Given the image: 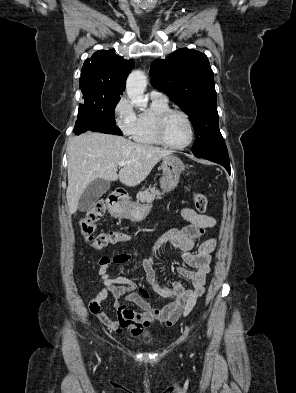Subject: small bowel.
<instances>
[{"label":"small bowel","instance_id":"small-bowel-1","mask_svg":"<svg viewBox=\"0 0 296 393\" xmlns=\"http://www.w3.org/2000/svg\"><path fill=\"white\" fill-rule=\"evenodd\" d=\"M180 217L189 222L182 229H170L164 232L154 244L149 256L144 257L137 252H121L99 259L98 274L103 287L89 302V310L111 331L122 333L127 331L134 338L148 336L151 325L159 322L166 327L175 325L187 316L195 306L197 299L205 292V279L210 271L212 252L216 248V240L208 239L203 242L198 252L192 251L194 241L202 236L207 229L215 225V219L206 214L184 207L179 211ZM166 247L180 250L181 259L185 266L177 267V272L191 282L186 286L175 281L170 286L158 283V271L155 256ZM141 259L146 271L147 281L159 296L171 299V302L161 309L153 308L150 304V294L142 286H138L126 275L111 276L112 265H131L134 259ZM191 268V269H190ZM113 299L116 318H111L102 310V303L108 298ZM123 300V302L121 301ZM132 303L140 311L132 310Z\"/></svg>","mask_w":296,"mask_h":393}]
</instances>
